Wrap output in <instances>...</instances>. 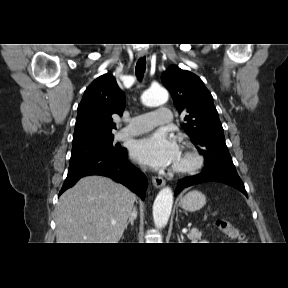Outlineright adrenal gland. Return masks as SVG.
I'll return each instance as SVG.
<instances>
[{"label":"right adrenal gland","instance_id":"obj_1","mask_svg":"<svg viewBox=\"0 0 288 288\" xmlns=\"http://www.w3.org/2000/svg\"><path fill=\"white\" fill-rule=\"evenodd\" d=\"M137 214H138L137 209H136V207H134L133 211L129 217V220L126 223L125 229H127V226L129 225V223H131L132 226L134 225V220L137 218Z\"/></svg>","mask_w":288,"mask_h":288}]
</instances>
